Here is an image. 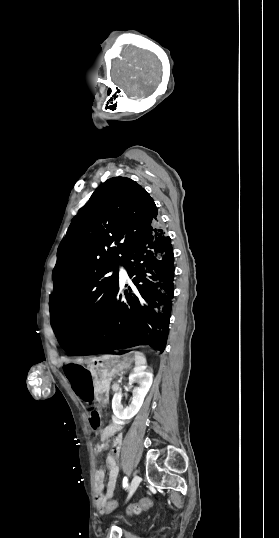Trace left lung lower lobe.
Returning a JSON list of instances; mask_svg holds the SVG:
<instances>
[{"label":"left lung lower lobe","mask_w":279,"mask_h":538,"mask_svg":"<svg viewBox=\"0 0 279 538\" xmlns=\"http://www.w3.org/2000/svg\"><path fill=\"white\" fill-rule=\"evenodd\" d=\"M124 267L135 285L119 287L97 328L88 336L62 332L57 336L68 355L109 353L113 349L149 345L163 352L173 299L174 256L170 237L153 224L127 256Z\"/></svg>","instance_id":"1"}]
</instances>
